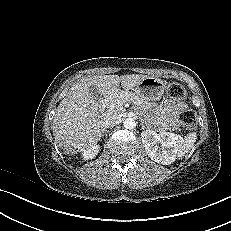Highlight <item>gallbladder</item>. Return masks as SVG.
Returning a JSON list of instances; mask_svg holds the SVG:
<instances>
[{
  "instance_id": "gallbladder-1",
  "label": "gallbladder",
  "mask_w": 231,
  "mask_h": 231,
  "mask_svg": "<svg viewBox=\"0 0 231 231\" xmlns=\"http://www.w3.org/2000/svg\"><path fill=\"white\" fill-rule=\"evenodd\" d=\"M89 91L91 93V95L98 100L100 98V92L97 90V88L95 86H91L89 88Z\"/></svg>"
}]
</instances>
